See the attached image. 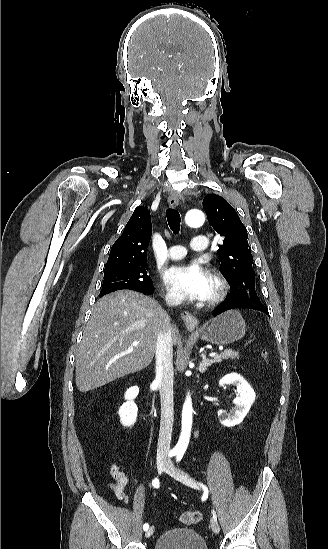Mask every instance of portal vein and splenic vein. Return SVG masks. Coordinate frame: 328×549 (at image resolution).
<instances>
[{
	"label": "portal vein and splenic vein",
	"instance_id": "portal-vein-and-splenic-vein-1",
	"mask_svg": "<svg viewBox=\"0 0 328 549\" xmlns=\"http://www.w3.org/2000/svg\"><path fill=\"white\" fill-rule=\"evenodd\" d=\"M139 345V341H133L132 347H137ZM211 357H217V353H210Z\"/></svg>",
	"mask_w": 328,
	"mask_h": 549
}]
</instances>
